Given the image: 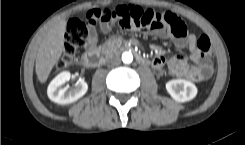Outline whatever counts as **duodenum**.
Here are the masks:
<instances>
[{
    "label": "duodenum",
    "mask_w": 245,
    "mask_h": 145,
    "mask_svg": "<svg viewBox=\"0 0 245 145\" xmlns=\"http://www.w3.org/2000/svg\"><path fill=\"white\" fill-rule=\"evenodd\" d=\"M113 47L115 49H123L124 51L132 52L134 56L136 57V60L140 64L147 65V61L140 54L135 53L133 51L132 45H121L120 43H114L112 45H108L99 51H93V50L88 51L82 59L83 64L91 68L97 67L101 63V59H102L101 54L103 52H109Z\"/></svg>",
    "instance_id": "obj_1"
}]
</instances>
